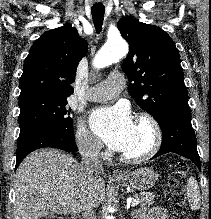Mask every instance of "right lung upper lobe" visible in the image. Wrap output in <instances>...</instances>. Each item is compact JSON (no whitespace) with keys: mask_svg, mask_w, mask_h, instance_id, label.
I'll list each match as a JSON object with an SVG mask.
<instances>
[{"mask_svg":"<svg viewBox=\"0 0 211 219\" xmlns=\"http://www.w3.org/2000/svg\"><path fill=\"white\" fill-rule=\"evenodd\" d=\"M88 44L76 28L66 24L49 30L32 45L20 78L19 101L34 97L68 98L73 93L79 61Z\"/></svg>","mask_w":211,"mask_h":219,"instance_id":"right-lung-upper-lobe-1","label":"right lung upper lobe"}]
</instances>
